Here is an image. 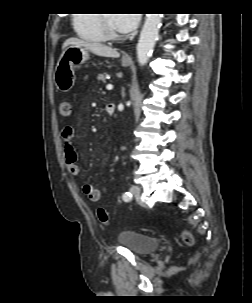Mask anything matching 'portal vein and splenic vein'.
Instances as JSON below:
<instances>
[{
  "label": "portal vein and splenic vein",
  "instance_id": "portal-vein-and-splenic-vein-1",
  "mask_svg": "<svg viewBox=\"0 0 252 303\" xmlns=\"http://www.w3.org/2000/svg\"><path fill=\"white\" fill-rule=\"evenodd\" d=\"M106 89L107 90H112L113 89V85L112 84H107Z\"/></svg>",
  "mask_w": 252,
  "mask_h": 303
}]
</instances>
